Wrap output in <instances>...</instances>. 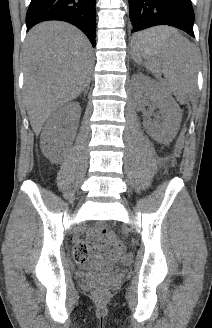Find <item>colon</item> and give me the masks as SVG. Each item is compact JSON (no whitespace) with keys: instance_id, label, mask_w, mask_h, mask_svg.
Listing matches in <instances>:
<instances>
[{"instance_id":"obj_1","label":"colon","mask_w":212,"mask_h":328,"mask_svg":"<svg viewBox=\"0 0 212 328\" xmlns=\"http://www.w3.org/2000/svg\"><path fill=\"white\" fill-rule=\"evenodd\" d=\"M102 234L103 236L111 243V246L122 252L124 250V245L123 243L120 241V239L118 238L117 234L114 232V231H111L109 229H102ZM75 259L77 261H83L85 260V256L79 252V251H75ZM131 260V257L129 255H124L123 258H122V262L127 264L129 263ZM93 292L94 294L97 296V297H102L106 294V289L102 286H97L93 289Z\"/></svg>"}]
</instances>
